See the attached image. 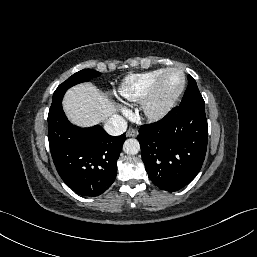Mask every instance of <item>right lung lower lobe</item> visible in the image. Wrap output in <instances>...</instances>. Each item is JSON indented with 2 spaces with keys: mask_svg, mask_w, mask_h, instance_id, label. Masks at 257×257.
I'll use <instances>...</instances> for the list:
<instances>
[{
  "mask_svg": "<svg viewBox=\"0 0 257 257\" xmlns=\"http://www.w3.org/2000/svg\"><path fill=\"white\" fill-rule=\"evenodd\" d=\"M48 140L58 174L76 193L97 196L114 182L125 134L111 136L99 125L77 127L60 104L49 110Z\"/></svg>",
  "mask_w": 257,
  "mask_h": 257,
  "instance_id": "1",
  "label": "right lung lower lobe"
}]
</instances>
